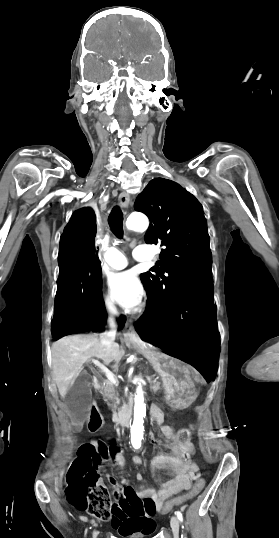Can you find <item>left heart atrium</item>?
Segmentation results:
<instances>
[{
  "mask_svg": "<svg viewBox=\"0 0 279 538\" xmlns=\"http://www.w3.org/2000/svg\"><path fill=\"white\" fill-rule=\"evenodd\" d=\"M108 285L112 295L126 309L135 310L141 304L144 289L134 271L111 274Z\"/></svg>",
  "mask_w": 279,
  "mask_h": 538,
  "instance_id": "39dd6f15",
  "label": "left heart atrium"
}]
</instances>
